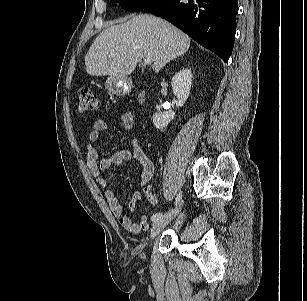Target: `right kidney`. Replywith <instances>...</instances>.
I'll list each match as a JSON object with an SVG mask.
<instances>
[{"mask_svg": "<svg viewBox=\"0 0 307 301\" xmlns=\"http://www.w3.org/2000/svg\"><path fill=\"white\" fill-rule=\"evenodd\" d=\"M193 74L191 69L183 68L172 78L171 85L174 95L178 98L177 107H182L190 95ZM175 117V112L155 113L153 124L157 129L165 128Z\"/></svg>", "mask_w": 307, "mask_h": 301, "instance_id": "1", "label": "right kidney"}]
</instances>
